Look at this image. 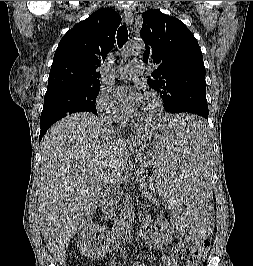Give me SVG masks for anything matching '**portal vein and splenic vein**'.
Segmentation results:
<instances>
[{
	"label": "portal vein and splenic vein",
	"mask_w": 253,
	"mask_h": 266,
	"mask_svg": "<svg viewBox=\"0 0 253 266\" xmlns=\"http://www.w3.org/2000/svg\"><path fill=\"white\" fill-rule=\"evenodd\" d=\"M142 174V172H138V175H141ZM147 194H149V192H146ZM142 194H143V192H142ZM149 197H152V194H149Z\"/></svg>",
	"instance_id": "portal-vein-and-splenic-vein-1"
}]
</instances>
